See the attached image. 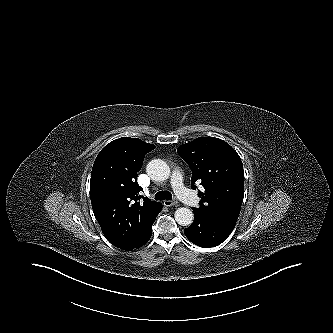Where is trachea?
Listing matches in <instances>:
<instances>
[{
  "mask_svg": "<svg viewBox=\"0 0 333 333\" xmlns=\"http://www.w3.org/2000/svg\"><path fill=\"white\" fill-rule=\"evenodd\" d=\"M156 200H172V194L169 191H159L155 195Z\"/></svg>",
  "mask_w": 333,
  "mask_h": 333,
  "instance_id": "3493384b",
  "label": "trachea"
}]
</instances>
